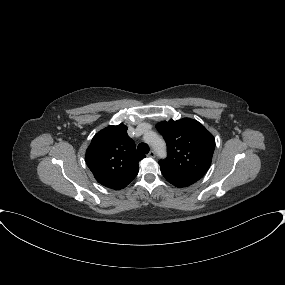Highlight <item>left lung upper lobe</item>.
Segmentation results:
<instances>
[{
	"mask_svg": "<svg viewBox=\"0 0 285 285\" xmlns=\"http://www.w3.org/2000/svg\"><path fill=\"white\" fill-rule=\"evenodd\" d=\"M167 143L168 156L160 160L161 169L180 175L203 176L209 169L215 149V139L196 120L183 118L156 125Z\"/></svg>",
	"mask_w": 285,
	"mask_h": 285,
	"instance_id": "obj_1",
	"label": "left lung upper lobe"
}]
</instances>
